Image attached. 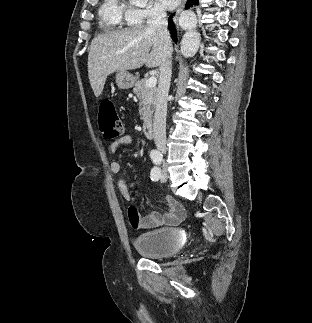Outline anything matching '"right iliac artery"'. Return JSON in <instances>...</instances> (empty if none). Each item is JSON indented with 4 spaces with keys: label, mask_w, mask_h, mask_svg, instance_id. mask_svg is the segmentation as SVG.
<instances>
[{
    "label": "right iliac artery",
    "mask_w": 312,
    "mask_h": 323,
    "mask_svg": "<svg viewBox=\"0 0 312 323\" xmlns=\"http://www.w3.org/2000/svg\"><path fill=\"white\" fill-rule=\"evenodd\" d=\"M155 159H158V161H159L158 164H161V162H162V158L161 157L160 158H155Z\"/></svg>",
    "instance_id": "82829eb1"
}]
</instances>
